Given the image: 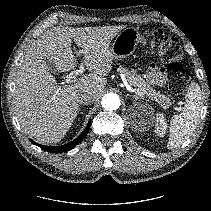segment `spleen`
I'll list each match as a JSON object with an SVG mask.
<instances>
[{
    "instance_id": "1",
    "label": "spleen",
    "mask_w": 211,
    "mask_h": 211,
    "mask_svg": "<svg viewBox=\"0 0 211 211\" xmlns=\"http://www.w3.org/2000/svg\"><path fill=\"white\" fill-rule=\"evenodd\" d=\"M203 104V95L198 83L192 82L185 96V107L180 114L172 116L167 147H179L195 131Z\"/></svg>"
}]
</instances>
